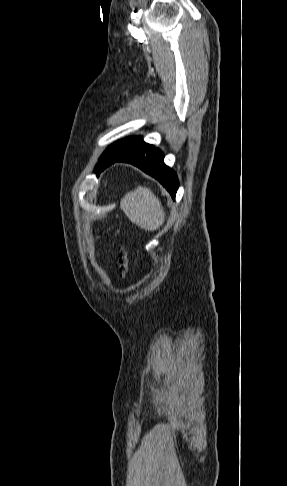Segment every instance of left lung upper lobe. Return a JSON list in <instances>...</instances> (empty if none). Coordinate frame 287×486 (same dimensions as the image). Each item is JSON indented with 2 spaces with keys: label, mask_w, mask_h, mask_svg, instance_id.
<instances>
[{
  "label": "left lung upper lobe",
  "mask_w": 287,
  "mask_h": 486,
  "mask_svg": "<svg viewBox=\"0 0 287 486\" xmlns=\"http://www.w3.org/2000/svg\"><path fill=\"white\" fill-rule=\"evenodd\" d=\"M145 142L142 137H128L123 140H119L110 145L104 153L101 155L98 164L95 167L96 174L99 172L101 165L108 159L116 156H122L130 152L140 149Z\"/></svg>",
  "instance_id": "left-lung-upper-lobe-1"
}]
</instances>
